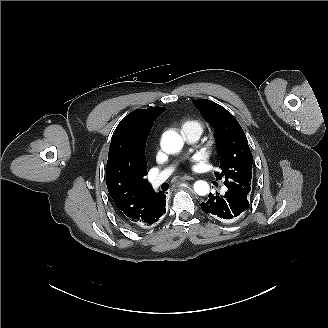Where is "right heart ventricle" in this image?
Instances as JSON below:
<instances>
[{
    "mask_svg": "<svg viewBox=\"0 0 328 328\" xmlns=\"http://www.w3.org/2000/svg\"><path fill=\"white\" fill-rule=\"evenodd\" d=\"M180 131L184 137L187 134H197L199 139L206 131V124L198 118L188 119L180 125Z\"/></svg>",
    "mask_w": 328,
    "mask_h": 328,
    "instance_id": "1",
    "label": "right heart ventricle"
}]
</instances>
